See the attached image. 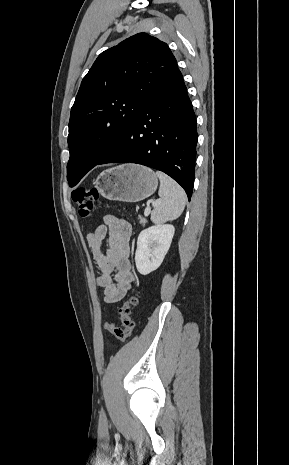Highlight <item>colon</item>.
Wrapping results in <instances>:
<instances>
[{
  "instance_id": "1",
  "label": "colon",
  "mask_w": 289,
  "mask_h": 465,
  "mask_svg": "<svg viewBox=\"0 0 289 465\" xmlns=\"http://www.w3.org/2000/svg\"><path fill=\"white\" fill-rule=\"evenodd\" d=\"M71 197L77 205L80 216L89 217L98 199V191L95 188L79 187L72 191ZM138 304V296H130L119 308L118 313L122 326L112 323H104L103 327L120 341L127 340L134 329V322L131 318L132 309Z\"/></svg>"
}]
</instances>
